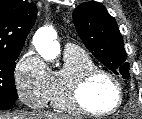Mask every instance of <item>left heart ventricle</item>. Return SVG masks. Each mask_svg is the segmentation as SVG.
Segmentation results:
<instances>
[{
	"label": "left heart ventricle",
	"mask_w": 142,
	"mask_h": 119,
	"mask_svg": "<svg viewBox=\"0 0 142 119\" xmlns=\"http://www.w3.org/2000/svg\"><path fill=\"white\" fill-rule=\"evenodd\" d=\"M118 94L110 80L103 76L93 79L83 93L85 104L95 111H107L117 102Z\"/></svg>",
	"instance_id": "1"
}]
</instances>
